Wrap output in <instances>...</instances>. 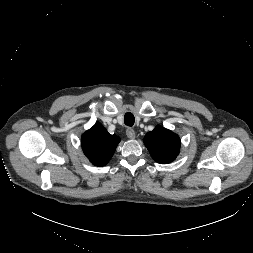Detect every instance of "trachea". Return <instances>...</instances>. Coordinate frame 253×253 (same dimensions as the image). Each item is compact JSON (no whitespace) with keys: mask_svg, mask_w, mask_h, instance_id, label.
I'll return each mask as SVG.
<instances>
[{"mask_svg":"<svg viewBox=\"0 0 253 253\" xmlns=\"http://www.w3.org/2000/svg\"><path fill=\"white\" fill-rule=\"evenodd\" d=\"M134 122H135L134 115L130 112H127L124 116L125 125L132 127L134 125Z\"/></svg>","mask_w":253,"mask_h":253,"instance_id":"1","label":"trachea"}]
</instances>
